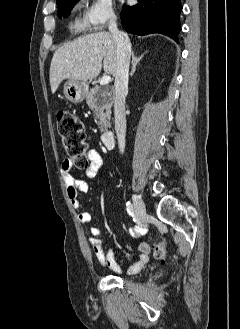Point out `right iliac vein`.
<instances>
[{
    "label": "right iliac vein",
    "mask_w": 240,
    "mask_h": 329,
    "mask_svg": "<svg viewBox=\"0 0 240 329\" xmlns=\"http://www.w3.org/2000/svg\"><path fill=\"white\" fill-rule=\"evenodd\" d=\"M133 204H134L136 217L139 220H143L146 217L147 213H146L145 204L141 199V197L138 195H133Z\"/></svg>",
    "instance_id": "1"
}]
</instances>
